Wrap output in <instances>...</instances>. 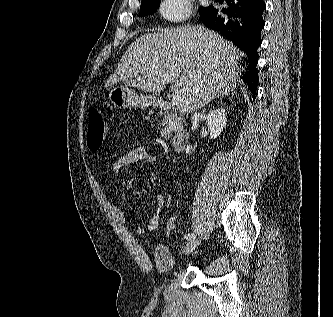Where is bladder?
<instances>
[{
	"mask_svg": "<svg viewBox=\"0 0 333 317\" xmlns=\"http://www.w3.org/2000/svg\"><path fill=\"white\" fill-rule=\"evenodd\" d=\"M153 260L157 270L163 274H169L175 270V259L171 251L163 245L154 249Z\"/></svg>",
	"mask_w": 333,
	"mask_h": 317,
	"instance_id": "bladder-1",
	"label": "bladder"
}]
</instances>
